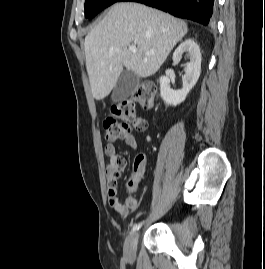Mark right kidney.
<instances>
[{
	"label": "right kidney",
	"instance_id": "ca27d5eb",
	"mask_svg": "<svg viewBox=\"0 0 265 269\" xmlns=\"http://www.w3.org/2000/svg\"><path fill=\"white\" fill-rule=\"evenodd\" d=\"M184 53L189 58V62L186 64L185 74L182 77L183 88L175 91L170 88V79L167 76L160 77V94L168 105L177 106L182 103L197 83L201 73V53L197 43L192 39L182 42L173 53V62L178 63Z\"/></svg>",
	"mask_w": 265,
	"mask_h": 269
}]
</instances>
